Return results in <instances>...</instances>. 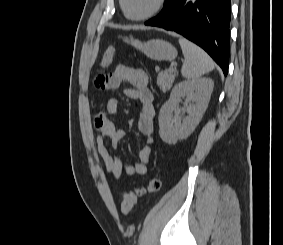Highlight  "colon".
<instances>
[{"instance_id": "obj_1", "label": "colon", "mask_w": 283, "mask_h": 245, "mask_svg": "<svg viewBox=\"0 0 283 245\" xmlns=\"http://www.w3.org/2000/svg\"><path fill=\"white\" fill-rule=\"evenodd\" d=\"M117 53L116 48L108 47L102 54L100 59L101 66H108L112 63ZM161 188V181L154 177L144 185H138L133 189L125 192L122 196L121 211L123 214L128 215L132 212L137 200L147 193L158 192Z\"/></svg>"}]
</instances>
